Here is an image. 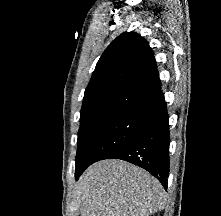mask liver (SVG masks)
<instances>
[{"instance_id":"1","label":"liver","mask_w":221,"mask_h":216,"mask_svg":"<svg viewBox=\"0 0 221 216\" xmlns=\"http://www.w3.org/2000/svg\"><path fill=\"white\" fill-rule=\"evenodd\" d=\"M76 195L81 216H150L166 205V192L155 177L116 159L91 165Z\"/></svg>"}]
</instances>
